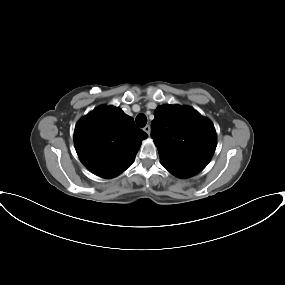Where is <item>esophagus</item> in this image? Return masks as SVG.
<instances>
[{
  "instance_id": "34e87169",
  "label": "esophagus",
  "mask_w": 285,
  "mask_h": 285,
  "mask_svg": "<svg viewBox=\"0 0 285 285\" xmlns=\"http://www.w3.org/2000/svg\"><path fill=\"white\" fill-rule=\"evenodd\" d=\"M143 130L148 134L150 135V132H151V128H150V125H146Z\"/></svg>"
}]
</instances>
